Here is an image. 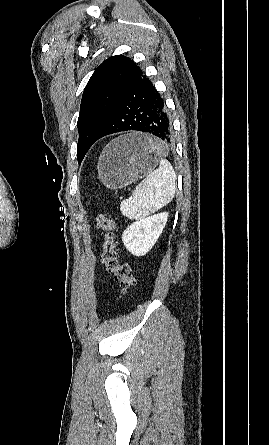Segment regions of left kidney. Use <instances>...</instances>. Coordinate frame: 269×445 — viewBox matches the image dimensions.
I'll list each match as a JSON object with an SVG mask.
<instances>
[{"instance_id": "left-kidney-1", "label": "left kidney", "mask_w": 269, "mask_h": 445, "mask_svg": "<svg viewBox=\"0 0 269 445\" xmlns=\"http://www.w3.org/2000/svg\"><path fill=\"white\" fill-rule=\"evenodd\" d=\"M168 219V213H159L132 223L122 235L126 249L135 256H144L154 246Z\"/></svg>"}]
</instances>
